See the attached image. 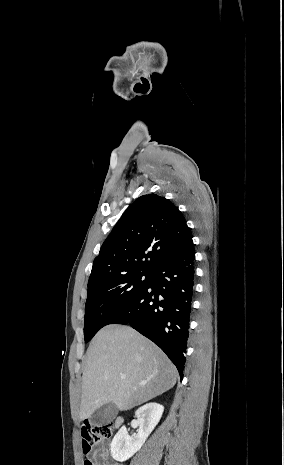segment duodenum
<instances>
[{"mask_svg": "<svg viewBox=\"0 0 284 465\" xmlns=\"http://www.w3.org/2000/svg\"><path fill=\"white\" fill-rule=\"evenodd\" d=\"M124 422V418L122 415H118L115 419H114V422H113V425H114V428L115 429H119L122 424Z\"/></svg>", "mask_w": 284, "mask_h": 465, "instance_id": "410a0bca", "label": "duodenum"}]
</instances>
